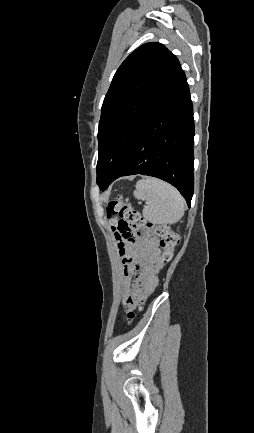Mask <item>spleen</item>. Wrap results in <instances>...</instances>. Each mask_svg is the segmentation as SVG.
I'll return each mask as SVG.
<instances>
[{"mask_svg":"<svg viewBox=\"0 0 254 433\" xmlns=\"http://www.w3.org/2000/svg\"><path fill=\"white\" fill-rule=\"evenodd\" d=\"M134 196L146 202L143 216L154 224H174L185 211V202L180 193L170 184L152 177L141 179L136 184Z\"/></svg>","mask_w":254,"mask_h":433,"instance_id":"1","label":"spleen"}]
</instances>
